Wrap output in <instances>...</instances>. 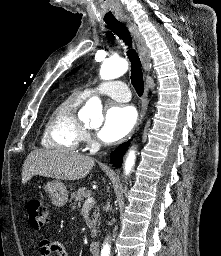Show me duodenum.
<instances>
[{
    "label": "duodenum",
    "mask_w": 221,
    "mask_h": 256,
    "mask_svg": "<svg viewBox=\"0 0 221 256\" xmlns=\"http://www.w3.org/2000/svg\"><path fill=\"white\" fill-rule=\"evenodd\" d=\"M90 252L93 256H99L100 254V243L93 241L90 243Z\"/></svg>",
    "instance_id": "410a0bca"
}]
</instances>
